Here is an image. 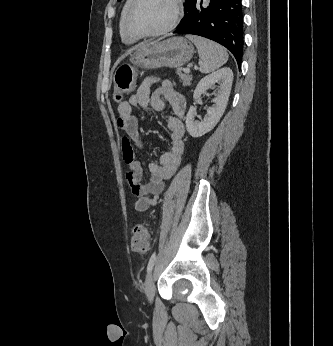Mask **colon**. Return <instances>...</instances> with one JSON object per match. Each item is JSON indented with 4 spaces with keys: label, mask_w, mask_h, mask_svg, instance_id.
Wrapping results in <instances>:
<instances>
[{
    "label": "colon",
    "mask_w": 333,
    "mask_h": 346,
    "mask_svg": "<svg viewBox=\"0 0 333 346\" xmlns=\"http://www.w3.org/2000/svg\"><path fill=\"white\" fill-rule=\"evenodd\" d=\"M134 68L129 64L120 66L114 77V95L118 101L126 97L133 87ZM150 233L146 225H138L133 229L131 236V250L137 254H144L149 247Z\"/></svg>",
    "instance_id": "5ec220e1"
}]
</instances>
